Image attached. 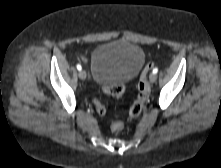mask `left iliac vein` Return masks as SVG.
<instances>
[{"label":"left iliac vein","instance_id":"1","mask_svg":"<svg viewBox=\"0 0 221 168\" xmlns=\"http://www.w3.org/2000/svg\"><path fill=\"white\" fill-rule=\"evenodd\" d=\"M150 82H155L157 80V75L155 73H151L149 76Z\"/></svg>","mask_w":221,"mask_h":168}]
</instances>
